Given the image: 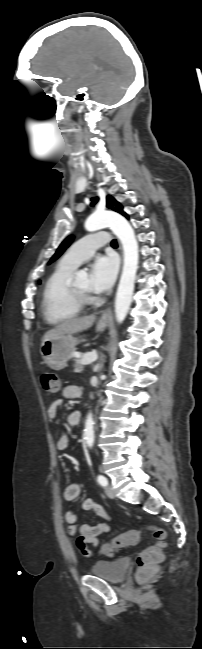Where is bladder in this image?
Returning a JSON list of instances; mask_svg holds the SVG:
<instances>
[{
	"label": "bladder",
	"instance_id": "1",
	"mask_svg": "<svg viewBox=\"0 0 202 649\" xmlns=\"http://www.w3.org/2000/svg\"><path fill=\"white\" fill-rule=\"evenodd\" d=\"M127 558H118L112 561H98L90 569V574L111 583L121 582L129 569Z\"/></svg>",
	"mask_w": 202,
	"mask_h": 649
}]
</instances>
